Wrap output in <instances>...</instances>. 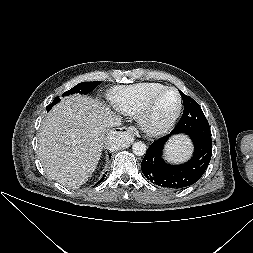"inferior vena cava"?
Segmentation results:
<instances>
[{"label": "inferior vena cava", "mask_w": 253, "mask_h": 253, "mask_svg": "<svg viewBox=\"0 0 253 253\" xmlns=\"http://www.w3.org/2000/svg\"><path fill=\"white\" fill-rule=\"evenodd\" d=\"M122 123H121V117L118 116V115H111L109 118H108V121H107V126L108 127H117V126H120Z\"/></svg>", "instance_id": "1"}]
</instances>
